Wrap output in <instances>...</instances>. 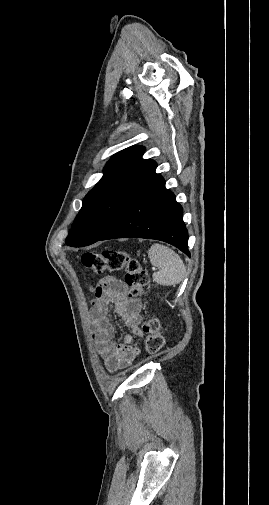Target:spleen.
Instances as JSON below:
<instances>
[{
    "instance_id": "3e777b00",
    "label": "spleen",
    "mask_w": 269,
    "mask_h": 505,
    "mask_svg": "<svg viewBox=\"0 0 269 505\" xmlns=\"http://www.w3.org/2000/svg\"><path fill=\"white\" fill-rule=\"evenodd\" d=\"M148 257L159 271L153 273V280L163 286H174L183 281L186 267L181 257L171 248L154 243L148 250Z\"/></svg>"
}]
</instances>
